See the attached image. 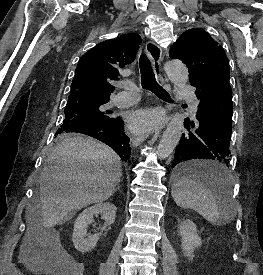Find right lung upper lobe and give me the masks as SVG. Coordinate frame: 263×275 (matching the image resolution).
<instances>
[{
  "label": "right lung upper lobe",
  "mask_w": 263,
  "mask_h": 275,
  "mask_svg": "<svg viewBox=\"0 0 263 275\" xmlns=\"http://www.w3.org/2000/svg\"><path fill=\"white\" fill-rule=\"evenodd\" d=\"M141 37L136 33L98 43L79 60L71 83L70 96L96 95L109 98L118 80L119 69L135 60Z\"/></svg>",
  "instance_id": "cb5924a9"
}]
</instances>
